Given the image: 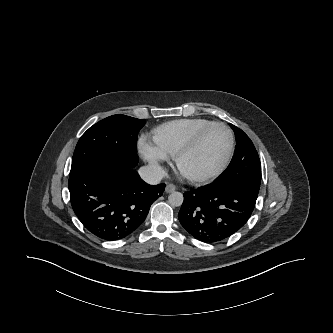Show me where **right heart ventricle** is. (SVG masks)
Masks as SVG:
<instances>
[{
    "mask_svg": "<svg viewBox=\"0 0 333 333\" xmlns=\"http://www.w3.org/2000/svg\"><path fill=\"white\" fill-rule=\"evenodd\" d=\"M212 123H214V121L206 118L173 120L154 129L153 141L162 152L173 156L200 130Z\"/></svg>",
    "mask_w": 333,
    "mask_h": 333,
    "instance_id": "1",
    "label": "right heart ventricle"
}]
</instances>
